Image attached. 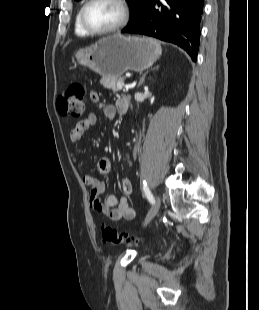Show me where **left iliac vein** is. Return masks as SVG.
Here are the masks:
<instances>
[{
    "label": "left iliac vein",
    "mask_w": 259,
    "mask_h": 310,
    "mask_svg": "<svg viewBox=\"0 0 259 310\" xmlns=\"http://www.w3.org/2000/svg\"><path fill=\"white\" fill-rule=\"evenodd\" d=\"M160 206H161V198L160 196H157L155 198V203L153 204V206L151 207L144 223H143V227H145L155 216L156 214L158 213L159 209H160Z\"/></svg>",
    "instance_id": "4c4485c4"
}]
</instances>
